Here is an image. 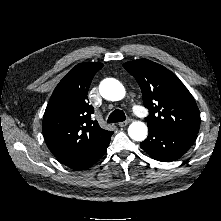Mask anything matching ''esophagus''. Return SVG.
Wrapping results in <instances>:
<instances>
[{"mask_svg": "<svg viewBox=\"0 0 221 221\" xmlns=\"http://www.w3.org/2000/svg\"><path fill=\"white\" fill-rule=\"evenodd\" d=\"M130 123V119L123 121V122H119L118 125L120 127H125L126 125H128Z\"/></svg>", "mask_w": 221, "mask_h": 221, "instance_id": "34e87169", "label": "esophagus"}]
</instances>
